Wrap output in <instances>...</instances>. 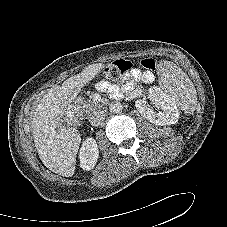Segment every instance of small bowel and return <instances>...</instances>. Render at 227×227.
Segmentation results:
<instances>
[{"label": "small bowel", "mask_w": 227, "mask_h": 227, "mask_svg": "<svg viewBox=\"0 0 227 227\" xmlns=\"http://www.w3.org/2000/svg\"><path fill=\"white\" fill-rule=\"evenodd\" d=\"M132 76L135 80H144L146 82L153 80V75L146 76L145 74H142L138 69L133 70ZM101 87L103 86L101 85Z\"/></svg>", "instance_id": "obj_1"}]
</instances>
